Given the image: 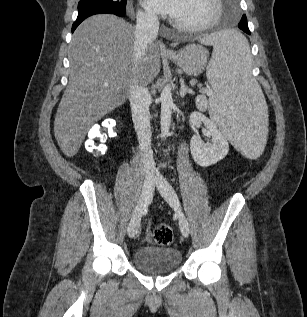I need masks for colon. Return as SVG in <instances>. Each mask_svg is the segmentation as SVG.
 <instances>
[{
    "label": "colon",
    "instance_id": "1",
    "mask_svg": "<svg viewBox=\"0 0 307 317\" xmlns=\"http://www.w3.org/2000/svg\"><path fill=\"white\" fill-rule=\"evenodd\" d=\"M117 133V121L106 119L99 124L93 125L89 131L85 142L86 150L94 156H101L107 150L106 142ZM156 244L167 246L173 242V231L167 224L158 225L153 232Z\"/></svg>",
    "mask_w": 307,
    "mask_h": 317
}]
</instances>
